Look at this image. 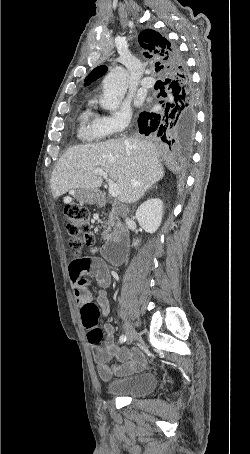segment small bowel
Instances as JSON below:
<instances>
[{
    "label": "small bowel",
    "instance_id": "c3829d8e",
    "mask_svg": "<svg viewBox=\"0 0 250 454\" xmlns=\"http://www.w3.org/2000/svg\"><path fill=\"white\" fill-rule=\"evenodd\" d=\"M68 277L71 282L77 304L82 307L92 303L93 297L88 289V280L94 278L102 287L110 283V270L108 265L98 257L75 258L68 265ZM97 304L101 314L107 316L110 305L105 292L100 291ZM104 345L94 344L93 359L97 365V372L101 379L107 381L113 376L133 373L141 369L146 359L139 349L127 350L120 348L114 341V328L110 324L104 325ZM113 359L117 362L111 363Z\"/></svg>",
    "mask_w": 250,
    "mask_h": 454
}]
</instances>
